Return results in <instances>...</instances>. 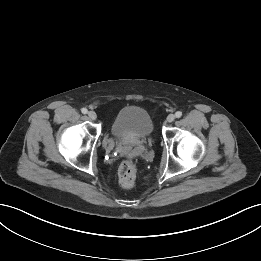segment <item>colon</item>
Segmentation results:
<instances>
[{"label":"colon","mask_w":261,"mask_h":261,"mask_svg":"<svg viewBox=\"0 0 261 261\" xmlns=\"http://www.w3.org/2000/svg\"><path fill=\"white\" fill-rule=\"evenodd\" d=\"M137 177V167L134 162L126 160L118 169L119 183L126 188L132 187Z\"/></svg>","instance_id":"5ec220e1"}]
</instances>
